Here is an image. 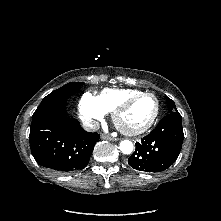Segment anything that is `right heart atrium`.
<instances>
[{
    "label": "right heart atrium",
    "instance_id": "d8ad5b80",
    "mask_svg": "<svg viewBox=\"0 0 221 221\" xmlns=\"http://www.w3.org/2000/svg\"><path fill=\"white\" fill-rule=\"evenodd\" d=\"M78 111L80 119L89 128H95L106 115L97 97L89 92L82 95Z\"/></svg>",
    "mask_w": 221,
    "mask_h": 221
}]
</instances>
